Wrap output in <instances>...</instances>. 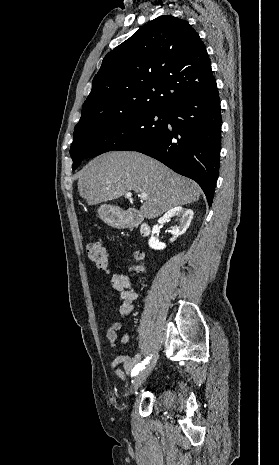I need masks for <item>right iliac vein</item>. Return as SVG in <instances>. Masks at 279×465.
I'll list each match as a JSON object with an SVG mask.
<instances>
[{
    "mask_svg": "<svg viewBox=\"0 0 279 465\" xmlns=\"http://www.w3.org/2000/svg\"><path fill=\"white\" fill-rule=\"evenodd\" d=\"M157 358H155L150 364H148L144 369H142L134 378L131 392L137 391L139 387L144 383L147 379L151 371L156 365Z\"/></svg>",
    "mask_w": 279,
    "mask_h": 465,
    "instance_id": "63e3f726",
    "label": "right iliac vein"
}]
</instances>
